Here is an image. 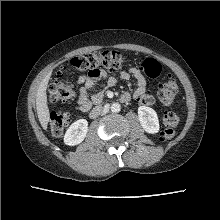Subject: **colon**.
Masks as SVG:
<instances>
[{
	"label": "colon",
	"instance_id": "obj_1",
	"mask_svg": "<svg viewBox=\"0 0 220 220\" xmlns=\"http://www.w3.org/2000/svg\"><path fill=\"white\" fill-rule=\"evenodd\" d=\"M125 64V58L117 51L95 52L86 55L74 57L69 66H63L57 72L52 81L48 96L52 103L71 102L76 97V90L67 82L66 75L73 71H87L88 74L95 75L98 70H111L121 68ZM143 72L150 78H156L161 72L160 63L153 58H146L142 62ZM178 93V85L172 78H168L158 91V99L165 105H171ZM155 101L151 95L143 98V103L153 104ZM69 114L63 111H55L50 115V127L53 135L60 136L69 124ZM180 116L174 111H167L162 117L165 129L162 131L164 140L171 139L174 134V128L179 124Z\"/></svg>",
	"mask_w": 220,
	"mask_h": 220
}]
</instances>
